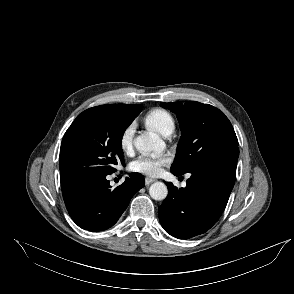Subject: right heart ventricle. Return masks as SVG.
I'll list each match as a JSON object with an SVG mask.
<instances>
[{
    "instance_id": "right-heart-ventricle-1",
    "label": "right heart ventricle",
    "mask_w": 294,
    "mask_h": 294,
    "mask_svg": "<svg viewBox=\"0 0 294 294\" xmlns=\"http://www.w3.org/2000/svg\"><path fill=\"white\" fill-rule=\"evenodd\" d=\"M145 124L163 136L170 135L175 129L173 116L164 109H153L144 118Z\"/></svg>"
}]
</instances>
